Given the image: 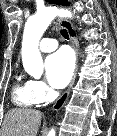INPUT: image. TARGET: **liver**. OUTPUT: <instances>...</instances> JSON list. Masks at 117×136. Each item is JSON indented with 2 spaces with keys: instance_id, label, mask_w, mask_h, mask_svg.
Wrapping results in <instances>:
<instances>
[{
  "instance_id": "1",
  "label": "liver",
  "mask_w": 117,
  "mask_h": 136,
  "mask_svg": "<svg viewBox=\"0 0 117 136\" xmlns=\"http://www.w3.org/2000/svg\"><path fill=\"white\" fill-rule=\"evenodd\" d=\"M41 118V112L35 109H12L4 117L0 136H36Z\"/></svg>"
}]
</instances>
